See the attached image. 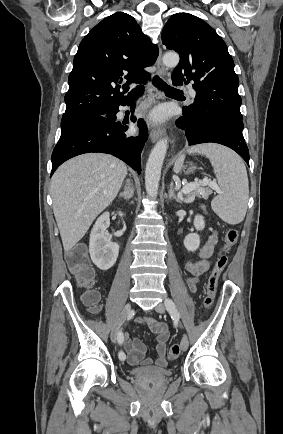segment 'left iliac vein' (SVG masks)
<instances>
[{
	"label": "left iliac vein",
	"mask_w": 283,
	"mask_h": 434,
	"mask_svg": "<svg viewBox=\"0 0 283 434\" xmlns=\"http://www.w3.org/2000/svg\"><path fill=\"white\" fill-rule=\"evenodd\" d=\"M155 310H156L158 313L163 314V313H165V305L162 304V303H160V304H158V305L155 307ZM188 345H189L188 337H187L186 334H184L183 337H182L181 343H180L181 350H182V351H186V350L188 349Z\"/></svg>",
	"instance_id": "1"
}]
</instances>
